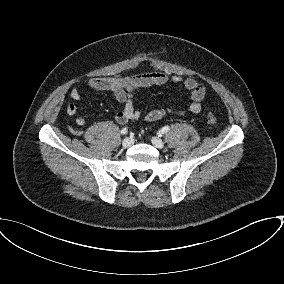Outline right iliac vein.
<instances>
[{
  "mask_svg": "<svg viewBox=\"0 0 284 284\" xmlns=\"http://www.w3.org/2000/svg\"><path fill=\"white\" fill-rule=\"evenodd\" d=\"M132 144H133V139L130 138V137H126V138H124L123 141H122V146H123L124 148L130 147V146H132Z\"/></svg>",
  "mask_w": 284,
  "mask_h": 284,
  "instance_id": "right-iliac-vein-1",
  "label": "right iliac vein"
}]
</instances>
